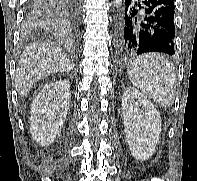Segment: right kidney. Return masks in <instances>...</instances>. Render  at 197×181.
Returning <instances> with one entry per match:
<instances>
[{
    "label": "right kidney",
    "mask_w": 197,
    "mask_h": 181,
    "mask_svg": "<svg viewBox=\"0 0 197 181\" xmlns=\"http://www.w3.org/2000/svg\"><path fill=\"white\" fill-rule=\"evenodd\" d=\"M70 85L65 80L46 84L31 105L30 132L42 146L61 132L70 104Z\"/></svg>",
    "instance_id": "ca27d5eb"
}]
</instances>
